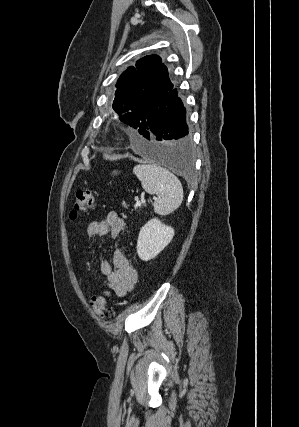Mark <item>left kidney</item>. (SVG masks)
Returning <instances> with one entry per match:
<instances>
[{"mask_svg":"<svg viewBox=\"0 0 299 427\" xmlns=\"http://www.w3.org/2000/svg\"><path fill=\"white\" fill-rule=\"evenodd\" d=\"M174 229L163 224L158 218L149 220L140 230L137 253L141 260L155 258L173 239Z\"/></svg>","mask_w":299,"mask_h":427,"instance_id":"obj_1","label":"left kidney"}]
</instances>
